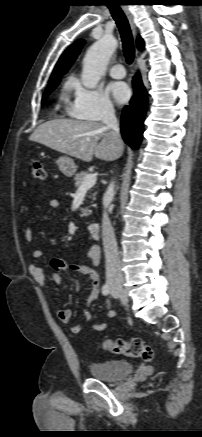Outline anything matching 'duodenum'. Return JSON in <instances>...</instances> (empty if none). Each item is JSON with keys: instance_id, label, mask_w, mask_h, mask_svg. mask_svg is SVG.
<instances>
[{"instance_id": "duodenum-1", "label": "duodenum", "mask_w": 202, "mask_h": 437, "mask_svg": "<svg viewBox=\"0 0 202 437\" xmlns=\"http://www.w3.org/2000/svg\"><path fill=\"white\" fill-rule=\"evenodd\" d=\"M88 233L93 239H98L100 235V225L96 222L88 225Z\"/></svg>"}]
</instances>
